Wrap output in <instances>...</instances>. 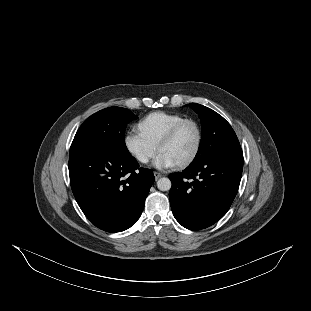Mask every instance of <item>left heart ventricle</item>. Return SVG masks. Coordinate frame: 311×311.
I'll return each instance as SVG.
<instances>
[{"mask_svg":"<svg viewBox=\"0 0 311 311\" xmlns=\"http://www.w3.org/2000/svg\"><path fill=\"white\" fill-rule=\"evenodd\" d=\"M198 140L199 131L197 124L194 121H188L181 127L176 138L161 148L160 153L169 155L177 164H180L194 154Z\"/></svg>","mask_w":311,"mask_h":311,"instance_id":"obj_1","label":"left heart ventricle"}]
</instances>
